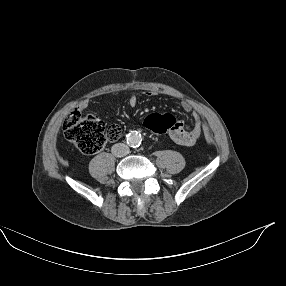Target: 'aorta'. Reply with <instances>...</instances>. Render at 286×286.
Returning a JSON list of instances; mask_svg holds the SVG:
<instances>
[{
	"label": "aorta",
	"instance_id": "1",
	"mask_svg": "<svg viewBox=\"0 0 286 286\" xmlns=\"http://www.w3.org/2000/svg\"><path fill=\"white\" fill-rule=\"evenodd\" d=\"M127 144L131 147H138L142 142V136L136 131H132L126 136Z\"/></svg>",
	"mask_w": 286,
	"mask_h": 286
}]
</instances>
